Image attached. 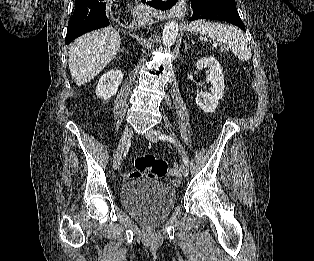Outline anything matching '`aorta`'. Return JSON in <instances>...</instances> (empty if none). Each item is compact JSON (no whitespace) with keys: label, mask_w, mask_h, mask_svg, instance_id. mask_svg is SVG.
<instances>
[{"label":"aorta","mask_w":314,"mask_h":261,"mask_svg":"<svg viewBox=\"0 0 314 261\" xmlns=\"http://www.w3.org/2000/svg\"><path fill=\"white\" fill-rule=\"evenodd\" d=\"M179 27L178 23L174 20L168 21L164 26L162 33V41L166 47H171L178 36Z\"/></svg>","instance_id":"aorta-1"}]
</instances>
